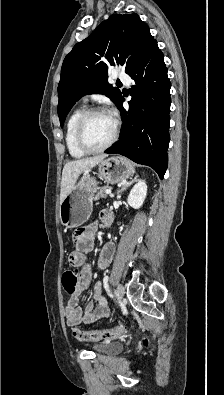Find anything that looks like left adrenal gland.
<instances>
[{"instance_id": "obj_1", "label": "left adrenal gland", "mask_w": 224, "mask_h": 395, "mask_svg": "<svg viewBox=\"0 0 224 395\" xmlns=\"http://www.w3.org/2000/svg\"><path fill=\"white\" fill-rule=\"evenodd\" d=\"M138 175H136L133 179H131L129 182H127L119 191L118 194L122 193L125 191L132 183L136 182L138 180Z\"/></svg>"}]
</instances>
